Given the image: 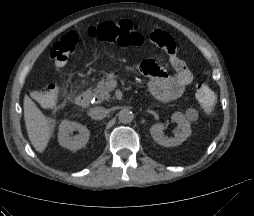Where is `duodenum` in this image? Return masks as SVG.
<instances>
[{
	"label": "duodenum",
	"mask_w": 254,
	"mask_h": 216,
	"mask_svg": "<svg viewBox=\"0 0 254 216\" xmlns=\"http://www.w3.org/2000/svg\"><path fill=\"white\" fill-rule=\"evenodd\" d=\"M90 94L88 91H82L75 97V102L78 106L86 107L89 103Z\"/></svg>",
	"instance_id": "obj_1"
}]
</instances>
